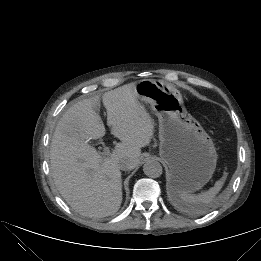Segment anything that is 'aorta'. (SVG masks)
Wrapping results in <instances>:
<instances>
[{"instance_id":"1","label":"aorta","mask_w":261,"mask_h":261,"mask_svg":"<svg viewBox=\"0 0 261 261\" xmlns=\"http://www.w3.org/2000/svg\"><path fill=\"white\" fill-rule=\"evenodd\" d=\"M144 174L150 178H158L162 175V165L155 160L147 161L143 166Z\"/></svg>"}]
</instances>
